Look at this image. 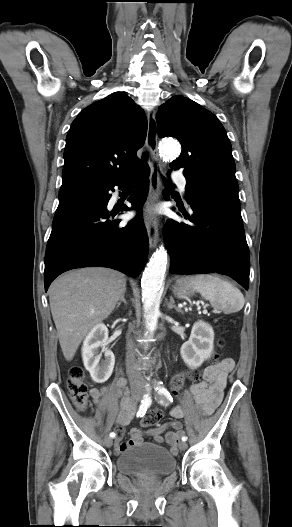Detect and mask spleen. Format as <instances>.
Segmentation results:
<instances>
[{
  "mask_svg": "<svg viewBox=\"0 0 292 527\" xmlns=\"http://www.w3.org/2000/svg\"><path fill=\"white\" fill-rule=\"evenodd\" d=\"M185 282L216 309L231 313L244 306L245 299L240 290L218 276L195 275L187 277Z\"/></svg>",
  "mask_w": 292,
  "mask_h": 527,
  "instance_id": "1",
  "label": "spleen"
}]
</instances>
